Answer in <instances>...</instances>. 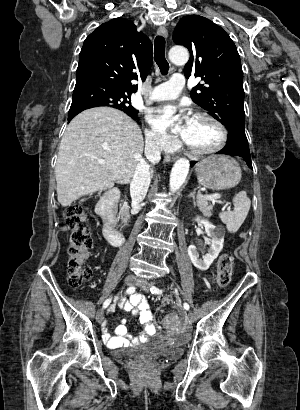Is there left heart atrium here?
I'll return each instance as SVG.
<instances>
[{"instance_id": "obj_1", "label": "left heart atrium", "mask_w": 300, "mask_h": 410, "mask_svg": "<svg viewBox=\"0 0 300 410\" xmlns=\"http://www.w3.org/2000/svg\"><path fill=\"white\" fill-rule=\"evenodd\" d=\"M177 116L182 118L183 124L180 136L184 141H186L194 118L190 116L182 106L165 105L158 108L152 118V123L156 128L165 130L172 125Z\"/></svg>"}]
</instances>
